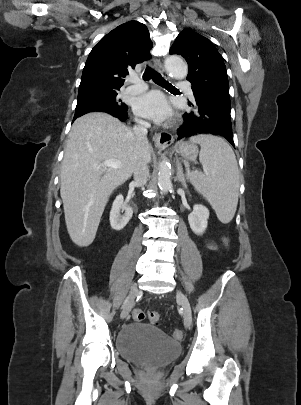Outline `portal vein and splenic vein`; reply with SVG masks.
I'll list each match as a JSON object with an SVG mask.
<instances>
[{"instance_id":"portal-vein-and-splenic-vein-1","label":"portal vein and splenic vein","mask_w":301,"mask_h":405,"mask_svg":"<svg viewBox=\"0 0 301 405\" xmlns=\"http://www.w3.org/2000/svg\"><path fill=\"white\" fill-rule=\"evenodd\" d=\"M103 167H110L114 169L120 168V162L117 160H106L101 164Z\"/></svg>"}]
</instances>
